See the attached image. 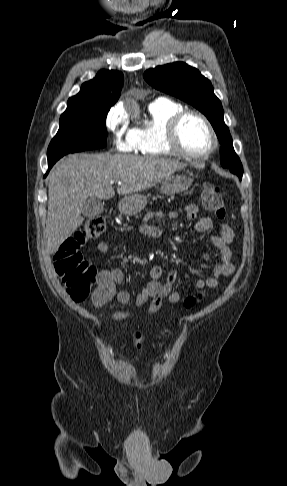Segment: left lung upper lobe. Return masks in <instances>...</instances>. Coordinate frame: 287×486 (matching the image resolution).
I'll list each match as a JSON object with an SVG mask.
<instances>
[{
	"label": "left lung upper lobe",
	"instance_id": "obj_1",
	"mask_svg": "<svg viewBox=\"0 0 287 486\" xmlns=\"http://www.w3.org/2000/svg\"><path fill=\"white\" fill-rule=\"evenodd\" d=\"M144 79L154 88L193 105L208 118L222 145L221 165L242 179L243 167L234 151L222 104L214 94L211 82L196 68L183 62L148 69Z\"/></svg>",
	"mask_w": 287,
	"mask_h": 486
}]
</instances>
